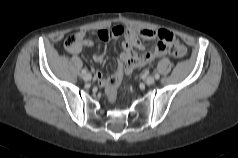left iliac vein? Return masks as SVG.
<instances>
[{"label":"left iliac vein","instance_id":"left-iliac-vein-1","mask_svg":"<svg viewBox=\"0 0 238 158\" xmlns=\"http://www.w3.org/2000/svg\"><path fill=\"white\" fill-rule=\"evenodd\" d=\"M154 82H155V78L153 76H148L146 78V83L147 84L151 85V84H154Z\"/></svg>","mask_w":238,"mask_h":158}]
</instances>
